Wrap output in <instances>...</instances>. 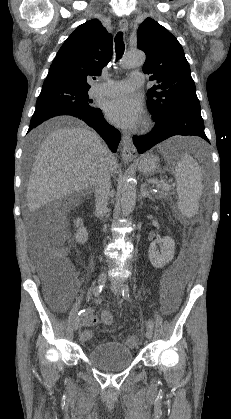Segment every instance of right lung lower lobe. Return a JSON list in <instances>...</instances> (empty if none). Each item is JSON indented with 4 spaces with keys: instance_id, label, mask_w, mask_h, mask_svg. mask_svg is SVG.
Instances as JSON below:
<instances>
[{
    "instance_id": "1",
    "label": "right lung lower lobe",
    "mask_w": 231,
    "mask_h": 419,
    "mask_svg": "<svg viewBox=\"0 0 231 419\" xmlns=\"http://www.w3.org/2000/svg\"><path fill=\"white\" fill-rule=\"evenodd\" d=\"M61 115H70L86 122L107 142L110 149L116 152L121 139L120 132L106 122L102 111L98 108L90 113L75 112L66 109L36 108L31 118L28 132L43 121Z\"/></svg>"
}]
</instances>
